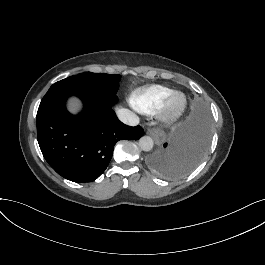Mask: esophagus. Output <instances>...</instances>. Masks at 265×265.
I'll list each match as a JSON object with an SVG mask.
<instances>
[{"mask_svg": "<svg viewBox=\"0 0 265 265\" xmlns=\"http://www.w3.org/2000/svg\"><path fill=\"white\" fill-rule=\"evenodd\" d=\"M147 134L152 136L157 144L165 139V132L161 129H148Z\"/></svg>", "mask_w": 265, "mask_h": 265, "instance_id": "34e87169", "label": "esophagus"}]
</instances>
